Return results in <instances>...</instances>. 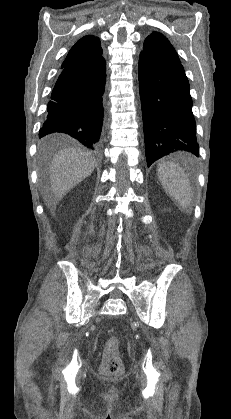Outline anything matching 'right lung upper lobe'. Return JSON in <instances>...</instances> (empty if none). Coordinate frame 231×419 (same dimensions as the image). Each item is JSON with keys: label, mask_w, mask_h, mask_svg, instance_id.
Returning a JSON list of instances; mask_svg holds the SVG:
<instances>
[{"label": "right lung upper lobe", "mask_w": 231, "mask_h": 419, "mask_svg": "<svg viewBox=\"0 0 231 419\" xmlns=\"http://www.w3.org/2000/svg\"><path fill=\"white\" fill-rule=\"evenodd\" d=\"M103 59L102 48L97 37L92 35L81 38L69 51L61 67L75 64L92 63Z\"/></svg>", "instance_id": "1"}]
</instances>
